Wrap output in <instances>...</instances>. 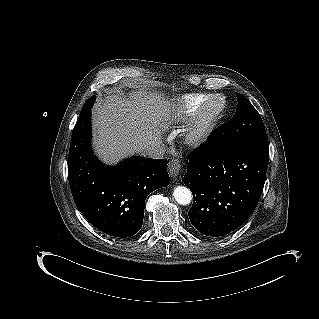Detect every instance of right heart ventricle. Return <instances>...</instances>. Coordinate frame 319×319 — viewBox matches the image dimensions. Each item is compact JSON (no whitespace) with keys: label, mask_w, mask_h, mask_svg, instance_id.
I'll return each instance as SVG.
<instances>
[{"label":"right heart ventricle","mask_w":319,"mask_h":319,"mask_svg":"<svg viewBox=\"0 0 319 319\" xmlns=\"http://www.w3.org/2000/svg\"><path fill=\"white\" fill-rule=\"evenodd\" d=\"M209 96L207 93L200 92L186 93L177 99L176 107L183 117H190Z\"/></svg>","instance_id":"1"}]
</instances>
